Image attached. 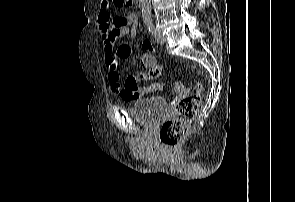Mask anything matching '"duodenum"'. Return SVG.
Wrapping results in <instances>:
<instances>
[{
    "label": "duodenum",
    "instance_id": "410a0bca",
    "mask_svg": "<svg viewBox=\"0 0 295 202\" xmlns=\"http://www.w3.org/2000/svg\"><path fill=\"white\" fill-rule=\"evenodd\" d=\"M138 2H139V3H141V2H142V0H138Z\"/></svg>",
    "mask_w": 295,
    "mask_h": 202
}]
</instances>
